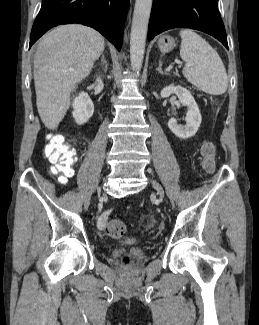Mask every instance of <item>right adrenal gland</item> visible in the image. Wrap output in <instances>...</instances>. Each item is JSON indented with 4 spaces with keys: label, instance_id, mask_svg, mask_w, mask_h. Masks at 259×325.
Here are the masks:
<instances>
[{
    "label": "right adrenal gland",
    "instance_id": "right-adrenal-gland-1",
    "mask_svg": "<svg viewBox=\"0 0 259 325\" xmlns=\"http://www.w3.org/2000/svg\"><path fill=\"white\" fill-rule=\"evenodd\" d=\"M101 61H102V63L104 64L105 71H106V70H107V62H106V60H105V58H104V55H102Z\"/></svg>",
    "mask_w": 259,
    "mask_h": 325
}]
</instances>
